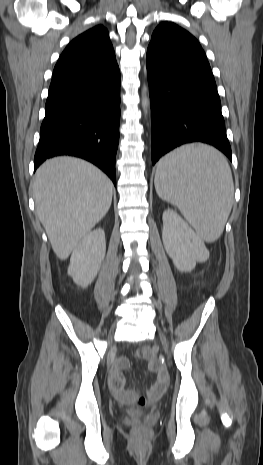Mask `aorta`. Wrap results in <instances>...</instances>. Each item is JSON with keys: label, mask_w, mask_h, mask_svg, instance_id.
I'll use <instances>...</instances> for the list:
<instances>
[{"label": "aorta", "mask_w": 263, "mask_h": 465, "mask_svg": "<svg viewBox=\"0 0 263 465\" xmlns=\"http://www.w3.org/2000/svg\"><path fill=\"white\" fill-rule=\"evenodd\" d=\"M147 92H148V88L147 86H143V89H142V107H143V110L145 112V114H147V111H148V107H149V98L147 96Z\"/></svg>", "instance_id": "aorta-1"}]
</instances>
